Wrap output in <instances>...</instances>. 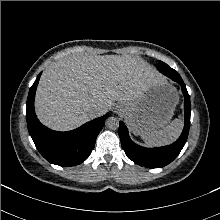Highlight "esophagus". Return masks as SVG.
Returning <instances> with one entry per match:
<instances>
[{
  "mask_svg": "<svg viewBox=\"0 0 220 220\" xmlns=\"http://www.w3.org/2000/svg\"><path fill=\"white\" fill-rule=\"evenodd\" d=\"M113 113L117 114L121 111V108L120 106H115L113 109H112Z\"/></svg>",
  "mask_w": 220,
  "mask_h": 220,
  "instance_id": "obj_1",
  "label": "esophagus"
}]
</instances>
